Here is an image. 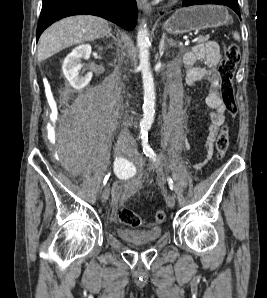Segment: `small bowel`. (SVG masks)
<instances>
[{"mask_svg":"<svg viewBox=\"0 0 267 298\" xmlns=\"http://www.w3.org/2000/svg\"><path fill=\"white\" fill-rule=\"evenodd\" d=\"M199 60L205 61V67H196L195 63ZM221 55L219 46L215 42H206L196 45L191 51L187 52L183 57V65L185 69V81L192 86L197 82L208 78L210 80V92L206 97V104L212 109L210 114V125L205 144V159L196 164L197 168L205 166L208 160L212 157L214 150V142L218 134L220 126L225 121V112L227 110L223 103L219 92L220 79L217 73V67L220 63ZM180 113V106L175 100L172 106L171 114L177 115ZM139 184L137 181H132L128 185L118 188L116 195L119 197V202L123 204L129 197L137 192Z\"/></svg>","mask_w":267,"mask_h":298,"instance_id":"small-bowel-1","label":"small bowel"}]
</instances>
